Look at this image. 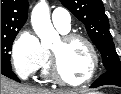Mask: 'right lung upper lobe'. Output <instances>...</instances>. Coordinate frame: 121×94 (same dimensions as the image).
Here are the masks:
<instances>
[{
  "label": "right lung upper lobe",
  "mask_w": 121,
  "mask_h": 94,
  "mask_svg": "<svg viewBox=\"0 0 121 94\" xmlns=\"http://www.w3.org/2000/svg\"><path fill=\"white\" fill-rule=\"evenodd\" d=\"M27 0H1V34L19 31L27 20Z\"/></svg>",
  "instance_id": "1"
}]
</instances>
